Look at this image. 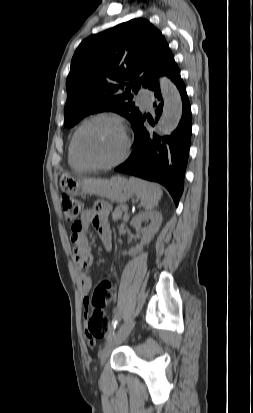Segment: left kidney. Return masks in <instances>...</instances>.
Segmentation results:
<instances>
[{"label": "left kidney", "instance_id": "5707ae66", "mask_svg": "<svg viewBox=\"0 0 253 413\" xmlns=\"http://www.w3.org/2000/svg\"><path fill=\"white\" fill-rule=\"evenodd\" d=\"M144 221H150V225L148 227L142 228L141 224ZM162 223V214L158 211L153 212H142L135 216L132 221L131 225L136 229L137 232L142 233V240L141 243L136 246V248L129 250L128 252H123L124 255H135L143 250L144 245L150 243L153 239L154 235L158 232Z\"/></svg>", "mask_w": 253, "mask_h": 413}]
</instances>
